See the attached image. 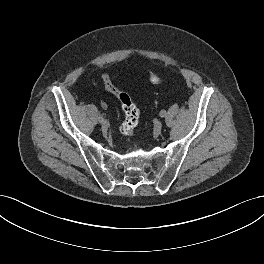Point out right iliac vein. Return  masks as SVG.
<instances>
[{
    "mask_svg": "<svg viewBox=\"0 0 264 264\" xmlns=\"http://www.w3.org/2000/svg\"><path fill=\"white\" fill-rule=\"evenodd\" d=\"M101 125H102V128H103V129H107L108 126H109V124H108V122H107L106 120H103V121L101 122Z\"/></svg>",
    "mask_w": 264,
    "mask_h": 264,
    "instance_id": "obj_1",
    "label": "right iliac vein"
}]
</instances>
